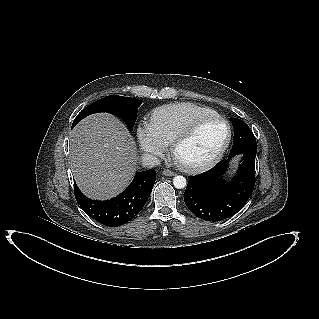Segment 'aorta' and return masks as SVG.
<instances>
[{"mask_svg": "<svg viewBox=\"0 0 319 319\" xmlns=\"http://www.w3.org/2000/svg\"><path fill=\"white\" fill-rule=\"evenodd\" d=\"M173 185L177 189H183L187 185L186 178L183 176H175L173 179Z\"/></svg>", "mask_w": 319, "mask_h": 319, "instance_id": "1", "label": "aorta"}]
</instances>
